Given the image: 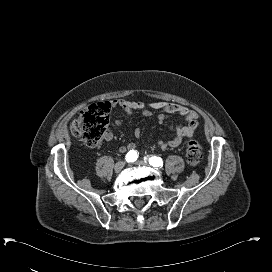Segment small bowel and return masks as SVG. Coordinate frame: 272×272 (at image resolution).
Masks as SVG:
<instances>
[{
  "label": "small bowel",
  "instance_id": "obj_1",
  "mask_svg": "<svg viewBox=\"0 0 272 272\" xmlns=\"http://www.w3.org/2000/svg\"><path fill=\"white\" fill-rule=\"evenodd\" d=\"M114 107L120 108L126 116L132 115L135 111L142 112L143 116L150 117L151 111L149 109L158 110L160 114L158 115V121L163 122L166 115L177 114L183 117L184 122L178 125L176 130V135L169 141L159 140L158 145L160 148L165 149L167 147H177L182 143L183 138L190 137L198 125V115L197 113L185 106L171 104L168 102H153L149 105H146L143 102H131L121 99H115L112 101ZM116 126L121 125V120L117 119L115 121ZM135 137L140 136V130L136 128L133 131ZM113 139V133L111 130H106L104 133V140L109 142ZM136 149V144L134 142L127 143L122 145L119 148L121 153L128 151H134Z\"/></svg>",
  "mask_w": 272,
  "mask_h": 272
}]
</instances>
